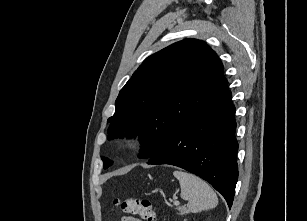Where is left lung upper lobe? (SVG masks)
<instances>
[{
	"instance_id": "5c2ea615",
	"label": "left lung upper lobe",
	"mask_w": 307,
	"mask_h": 221,
	"mask_svg": "<svg viewBox=\"0 0 307 221\" xmlns=\"http://www.w3.org/2000/svg\"><path fill=\"white\" fill-rule=\"evenodd\" d=\"M227 88L223 65L206 43L176 42L146 58L121 89L108 138L122 130L140 135L139 157L151 158ZM102 160L105 169L112 164Z\"/></svg>"
}]
</instances>
